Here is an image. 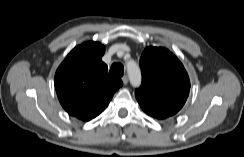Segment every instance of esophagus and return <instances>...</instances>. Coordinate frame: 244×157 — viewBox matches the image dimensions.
<instances>
[{
	"instance_id": "obj_1",
	"label": "esophagus",
	"mask_w": 244,
	"mask_h": 157,
	"mask_svg": "<svg viewBox=\"0 0 244 157\" xmlns=\"http://www.w3.org/2000/svg\"><path fill=\"white\" fill-rule=\"evenodd\" d=\"M122 81H123V84H124V85H126V84L128 83V77H127V75H124V76L122 77Z\"/></svg>"
}]
</instances>
